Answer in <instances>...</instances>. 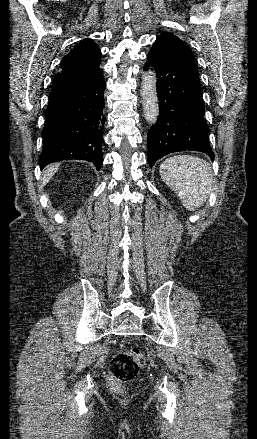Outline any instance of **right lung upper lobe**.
<instances>
[{
	"mask_svg": "<svg viewBox=\"0 0 257 439\" xmlns=\"http://www.w3.org/2000/svg\"><path fill=\"white\" fill-rule=\"evenodd\" d=\"M101 52L93 40L84 39L64 57L52 89L81 80L99 70Z\"/></svg>",
	"mask_w": 257,
	"mask_h": 439,
	"instance_id": "obj_1",
	"label": "right lung upper lobe"
}]
</instances>
